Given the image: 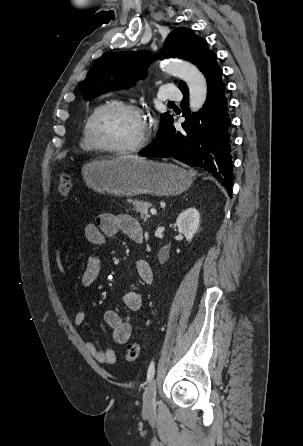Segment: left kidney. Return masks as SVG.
<instances>
[{
    "label": "left kidney",
    "mask_w": 303,
    "mask_h": 446,
    "mask_svg": "<svg viewBox=\"0 0 303 446\" xmlns=\"http://www.w3.org/2000/svg\"><path fill=\"white\" fill-rule=\"evenodd\" d=\"M200 224V214L196 208H188L180 213L176 220V225L188 242H191L193 236L198 231Z\"/></svg>",
    "instance_id": "1"
}]
</instances>
